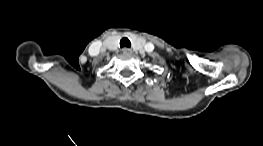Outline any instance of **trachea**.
Here are the masks:
<instances>
[{
	"instance_id": "trachea-1",
	"label": "trachea",
	"mask_w": 263,
	"mask_h": 146,
	"mask_svg": "<svg viewBox=\"0 0 263 146\" xmlns=\"http://www.w3.org/2000/svg\"><path fill=\"white\" fill-rule=\"evenodd\" d=\"M120 47L123 48V47H127V48H130L131 47V42L128 38H122L120 40Z\"/></svg>"
}]
</instances>
